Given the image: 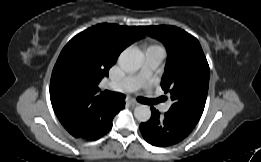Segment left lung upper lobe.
I'll use <instances>...</instances> for the list:
<instances>
[{
	"mask_svg": "<svg viewBox=\"0 0 261 162\" xmlns=\"http://www.w3.org/2000/svg\"><path fill=\"white\" fill-rule=\"evenodd\" d=\"M147 35L163 42L168 57L161 87L169 93L176 112L198 123L206 103L209 65L199 41L175 26H142Z\"/></svg>",
	"mask_w": 261,
	"mask_h": 162,
	"instance_id": "left-lung-upper-lobe-1",
	"label": "left lung upper lobe"
}]
</instances>
